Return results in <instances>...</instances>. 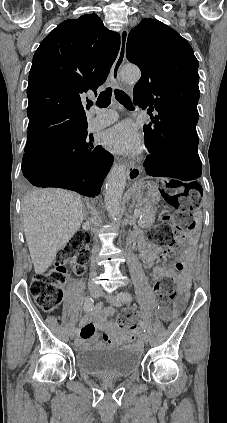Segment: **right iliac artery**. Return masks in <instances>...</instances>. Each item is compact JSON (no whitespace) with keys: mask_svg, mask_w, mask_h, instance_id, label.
I'll list each match as a JSON object with an SVG mask.
<instances>
[{"mask_svg":"<svg viewBox=\"0 0 227 423\" xmlns=\"http://www.w3.org/2000/svg\"><path fill=\"white\" fill-rule=\"evenodd\" d=\"M94 301L91 297L86 298L83 309L86 312H90L93 309ZM81 330L79 328L76 329V333L80 335Z\"/></svg>","mask_w":227,"mask_h":423,"instance_id":"right-iliac-artery-1","label":"right iliac artery"}]
</instances>
